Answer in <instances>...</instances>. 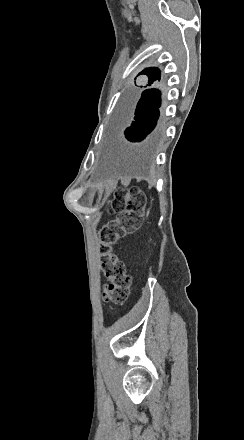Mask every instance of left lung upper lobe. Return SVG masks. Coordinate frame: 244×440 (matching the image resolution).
I'll return each instance as SVG.
<instances>
[{"mask_svg": "<svg viewBox=\"0 0 244 440\" xmlns=\"http://www.w3.org/2000/svg\"><path fill=\"white\" fill-rule=\"evenodd\" d=\"M139 75H146L148 77V83L146 84V86H147V85L154 84V82L157 80H160L161 73L158 68L150 67V68H146L143 71H141L139 73Z\"/></svg>", "mask_w": 244, "mask_h": 440, "instance_id": "obj_1", "label": "left lung upper lobe"}]
</instances>
